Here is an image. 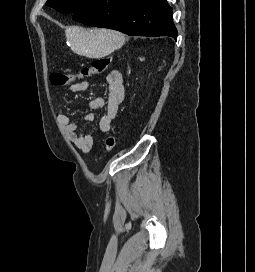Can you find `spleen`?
<instances>
[{"instance_id": "obj_1", "label": "spleen", "mask_w": 255, "mask_h": 272, "mask_svg": "<svg viewBox=\"0 0 255 272\" xmlns=\"http://www.w3.org/2000/svg\"><path fill=\"white\" fill-rule=\"evenodd\" d=\"M72 50L89 58H100L121 48L125 43L122 33L109 29H85L72 26L65 31Z\"/></svg>"}]
</instances>
